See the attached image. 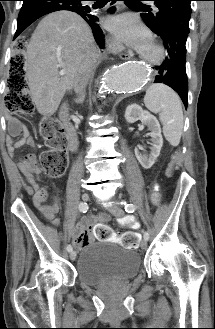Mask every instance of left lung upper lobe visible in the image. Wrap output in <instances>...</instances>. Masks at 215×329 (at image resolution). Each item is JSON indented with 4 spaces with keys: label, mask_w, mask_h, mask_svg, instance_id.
Wrapping results in <instances>:
<instances>
[{
    "label": "left lung upper lobe",
    "mask_w": 215,
    "mask_h": 329,
    "mask_svg": "<svg viewBox=\"0 0 215 329\" xmlns=\"http://www.w3.org/2000/svg\"><path fill=\"white\" fill-rule=\"evenodd\" d=\"M159 11L156 14L142 13L145 24L153 31H159L164 25L178 28L189 34V20L191 16L190 3L193 0H152Z\"/></svg>",
    "instance_id": "1"
}]
</instances>
